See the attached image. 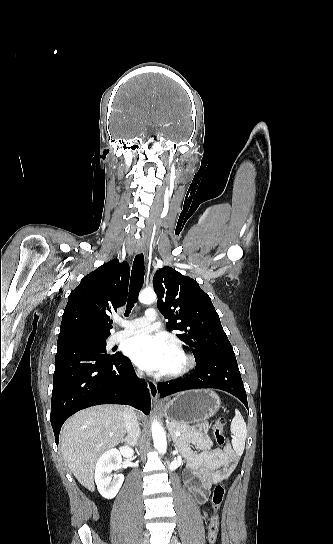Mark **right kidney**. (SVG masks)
<instances>
[{
  "mask_svg": "<svg viewBox=\"0 0 333 544\" xmlns=\"http://www.w3.org/2000/svg\"><path fill=\"white\" fill-rule=\"evenodd\" d=\"M122 456L127 459L131 458L133 450L127 446L110 449L103 453L96 463L95 483L99 493L106 499L114 498L124 481V476L121 474L111 475L112 471L121 467Z\"/></svg>",
  "mask_w": 333,
  "mask_h": 544,
  "instance_id": "1",
  "label": "right kidney"
}]
</instances>
